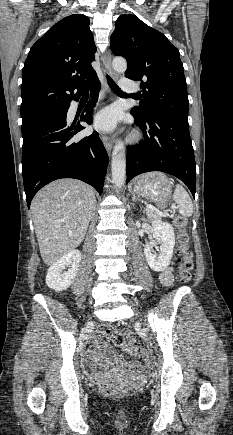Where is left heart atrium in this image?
<instances>
[{"label": "left heart atrium", "instance_id": "left-heart-atrium-1", "mask_svg": "<svg viewBox=\"0 0 233 435\" xmlns=\"http://www.w3.org/2000/svg\"><path fill=\"white\" fill-rule=\"evenodd\" d=\"M119 114L116 108L108 107L100 111L94 120V125L98 130L111 131L116 127Z\"/></svg>", "mask_w": 233, "mask_h": 435}]
</instances>
